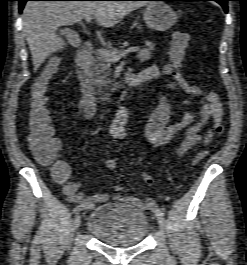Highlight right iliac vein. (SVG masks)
Here are the masks:
<instances>
[{
  "instance_id": "1",
  "label": "right iliac vein",
  "mask_w": 247,
  "mask_h": 265,
  "mask_svg": "<svg viewBox=\"0 0 247 265\" xmlns=\"http://www.w3.org/2000/svg\"><path fill=\"white\" fill-rule=\"evenodd\" d=\"M81 224V216L79 213H76L73 221L74 228L77 229Z\"/></svg>"
}]
</instances>
